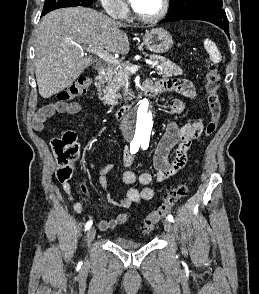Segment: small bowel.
Returning <instances> with one entry per match:
<instances>
[{
    "mask_svg": "<svg viewBox=\"0 0 259 294\" xmlns=\"http://www.w3.org/2000/svg\"><path fill=\"white\" fill-rule=\"evenodd\" d=\"M155 93L161 94L167 91H175L188 99H193L196 96L195 89L187 80L165 78L154 85ZM185 108L183 100H174L168 108V118L182 112ZM81 107L77 102L57 101L42 107L32 119L33 130L40 132L43 130L45 121L54 114L73 115L80 111ZM204 123L202 119L187 123L179 127L173 120L168 119L165 124V131L159 140L154 152V167L155 174L143 172L137 175L129 169L133 162V154L130 149H125L123 153V163L127 170L124 171L122 181L125 185H132L139 182L142 188H129L126 196L121 200H116L108 196V200L112 205L121 208V211L113 218L100 220L98 227L102 231L115 228L118 225L125 224L130 218L128 209L136 203L142 201H150L154 198L155 192L149 186L153 180L160 184L167 178L175 175L187 163V154L193 140L200 137L203 132ZM177 145L175 157L170 160L169 155L173 147ZM94 168V164H90ZM115 166L108 164L100 170L98 179L99 186L105 190L108 182V174L113 171ZM62 188L68 199L73 203L74 210L77 213L82 211V205L77 201L71 184L67 181L63 182ZM81 191L88 195V188L83 181L80 186Z\"/></svg>",
    "mask_w": 259,
    "mask_h": 294,
    "instance_id": "1",
    "label": "small bowel"
}]
</instances>
